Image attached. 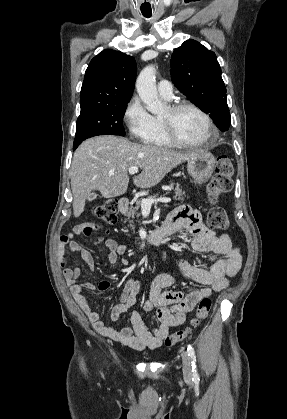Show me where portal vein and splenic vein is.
<instances>
[{"instance_id":"1","label":"portal vein and splenic vein","mask_w":287,"mask_h":419,"mask_svg":"<svg viewBox=\"0 0 287 419\" xmlns=\"http://www.w3.org/2000/svg\"><path fill=\"white\" fill-rule=\"evenodd\" d=\"M128 172L129 174L134 175L138 172V167H130ZM170 201H171V198H168V197H160L157 199L143 198L141 200V208L143 210L149 211L153 203H158V202L167 203Z\"/></svg>"}]
</instances>
